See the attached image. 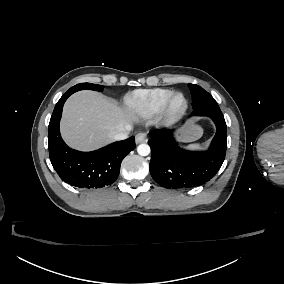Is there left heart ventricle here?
I'll list each match as a JSON object with an SVG mask.
<instances>
[{
  "instance_id": "1",
  "label": "left heart ventricle",
  "mask_w": 284,
  "mask_h": 284,
  "mask_svg": "<svg viewBox=\"0 0 284 284\" xmlns=\"http://www.w3.org/2000/svg\"><path fill=\"white\" fill-rule=\"evenodd\" d=\"M183 106V97L181 95L175 97L171 103L172 112H178Z\"/></svg>"
}]
</instances>
